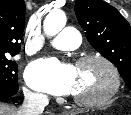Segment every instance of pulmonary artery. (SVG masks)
<instances>
[{"label":"pulmonary artery","mask_w":131,"mask_h":115,"mask_svg":"<svg viewBox=\"0 0 131 115\" xmlns=\"http://www.w3.org/2000/svg\"><path fill=\"white\" fill-rule=\"evenodd\" d=\"M49 44L59 50H73L80 44V34L76 29L67 27L52 38Z\"/></svg>","instance_id":"e3ab8cb5"}]
</instances>
